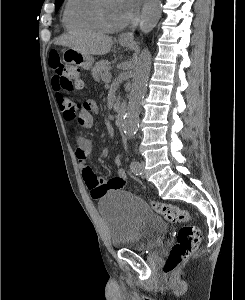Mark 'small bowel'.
Here are the masks:
<instances>
[{
    "label": "small bowel",
    "mask_w": 245,
    "mask_h": 300,
    "mask_svg": "<svg viewBox=\"0 0 245 300\" xmlns=\"http://www.w3.org/2000/svg\"><path fill=\"white\" fill-rule=\"evenodd\" d=\"M52 87L55 92L56 102L63 118L74 125L68 129V137L75 145V155L81 167L83 180L90 190L94 199H100L110 191L120 190L125 186L126 173L120 168L124 161L122 153H118L114 158L117 170L114 175L98 177L88 162L93 156V147L89 139L80 134L79 129H88L93 125L94 116L98 114L96 102L89 100L84 103H73L65 95L58 80L53 77Z\"/></svg>",
    "instance_id": "c3829d8e"
}]
</instances>
